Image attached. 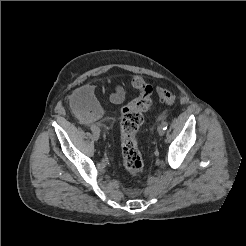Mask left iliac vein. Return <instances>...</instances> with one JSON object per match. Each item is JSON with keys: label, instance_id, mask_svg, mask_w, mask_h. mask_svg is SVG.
Masks as SVG:
<instances>
[{"label": "left iliac vein", "instance_id": "left-iliac-vein-1", "mask_svg": "<svg viewBox=\"0 0 246 246\" xmlns=\"http://www.w3.org/2000/svg\"><path fill=\"white\" fill-rule=\"evenodd\" d=\"M164 133H165V131H164V129H163V126L160 125V126L158 127V134H159L160 136H163Z\"/></svg>", "mask_w": 246, "mask_h": 246}]
</instances>
